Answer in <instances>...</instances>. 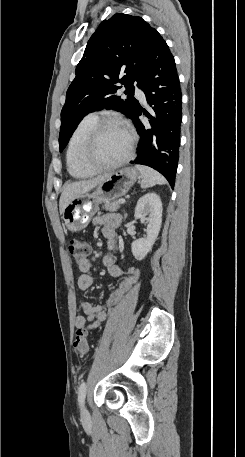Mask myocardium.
Returning a JSON list of instances; mask_svg holds the SVG:
<instances>
[{
  "label": "myocardium",
  "mask_w": 245,
  "mask_h": 457,
  "mask_svg": "<svg viewBox=\"0 0 245 457\" xmlns=\"http://www.w3.org/2000/svg\"><path fill=\"white\" fill-rule=\"evenodd\" d=\"M110 127H115L122 129L127 136L129 137V145L127 150L118 158L115 160L105 164V165H100V166H94L90 164L87 160V151L95 144H97L101 134L103 133L104 130ZM135 145H136V136L134 132L124 123H122L119 120L116 119H103L99 120L90 130V132L87 135L86 142L79 152L78 156V161L81 167L89 171L90 173H97L101 172L104 170H111L115 169L122 164L126 163L131 156L133 155V152L135 150Z\"/></svg>",
  "instance_id": "myocardium-1"
}]
</instances>
